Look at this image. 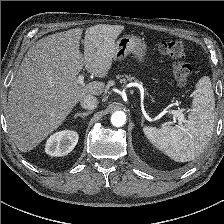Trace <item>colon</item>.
<instances>
[{
	"instance_id": "5ec220e1",
	"label": "colon",
	"mask_w": 224,
	"mask_h": 224,
	"mask_svg": "<svg viewBox=\"0 0 224 224\" xmlns=\"http://www.w3.org/2000/svg\"><path fill=\"white\" fill-rule=\"evenodd\" d=\"M158 49L173 61V76L178 85L186 86L192 74V66L186 58V45L180 40H166L159 44Z\"/></svg>"
}]
</instances>
